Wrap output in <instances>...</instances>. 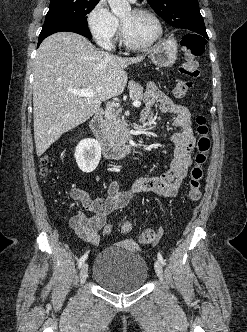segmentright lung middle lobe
<instances>
[{
    "mask_svg": "<svg viewBox=\"0 0 247 332\" xmlns=\"http://www.w3.org/2000/svg\"><path fill=\"white\" fill-rule=\"evenodd\" d=\"M98 2L99 0H50L45 21L66 19L87 25V14L94 9Z\"/></svg>",
    "mask_w": 247,
    "mask_h": 332,
    "instance_id": "dd1d6c3e",
    "label": "right lung middle lobe"
}]
</instances>
